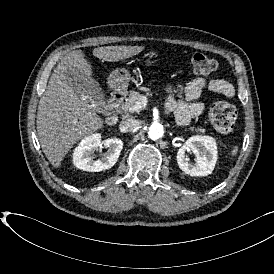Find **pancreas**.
I'll use <instances>...</instances> for the list:
<instances>
[{
	"label": "pancreas",
	"mask_w": 274,
	"mask_h": 274,
	"mask_svg": "<svg viewBox=\"0 0 274 274\" xmlns=\"http://www.w3.org/2000/svg\"><path fill=\"white\" fill-rule=\"evenodd\" d=\"M141 98V94L135 91H130L129 97L127 98L126 102L122 105L121 109L125 112V113H134L135 111H133L131 108L135 105L136 101H139ZM141 110V109H140ZM140 110L136 111L139 112ZM193 130V128H191ZM196 131L199 132H205V129L203 128H198L195 129Z\"/></svg>",
	"instance_id": "cf45deb5"
}]
</instances>
